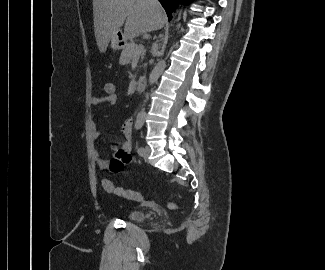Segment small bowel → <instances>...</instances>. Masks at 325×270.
Returning <instances> with one entry per match:
<instances>
[{"label": "small bowel", "instance_id": "obj_1", "mask_svg": "<svg viewBox=\"0 0 325 270\" xmlns=\"http://www.w3.org/2000/svg\"><path fill=\"white\" fill-rule=\"evenodd\" d=\"M117 100H118L117 94L116 96H105L104 94L102 96H92L89 102L92 106H99V105L114 106L117 103ZM132 126H133V120L131 118H128L122 123L120 127L123 140L120 143L119 147L117 146L113 147L115 151V156L110 161V170L114 173L122 171L125 165L128 164L131 160L130 152L132 150ZM90 135L93 140H97L101 136V133L97 129L96 122L94 120L90 124ZM92 157L100 169L108 168L109 161L101 157L98 149L93 148Z\"/></svg>", "mask_w": 325, "mask_h": 270}]
</instances>
